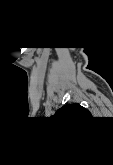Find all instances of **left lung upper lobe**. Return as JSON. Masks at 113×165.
Listing matches in <instances>:
<instances>
[{
  "instance_id": "left-lung-upper-lobe-1",
  "label": "left lung upper lobe",
  "mask_w": 113,
  "mask_h": 165,
  "mask_svg": "<svg viewBox=\"0 0 113 165\" xmlns=\"http://www.w3.org/2000/svg\"><path fill=\"white\" fill-rule=\"evenodd\" d=\"M56 114L68 115L69 117H77V116L83 117L90 115L88 110H86L83 106L77 103L63 106L56 112Z\"/></svg>"
}]
</instances>
